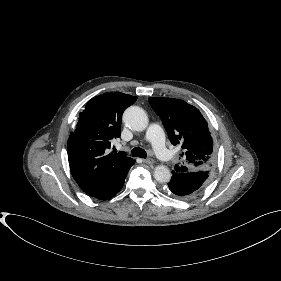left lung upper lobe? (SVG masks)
I'll return each mask as SVG.
<instances>
[{
	"instance_id": "obj_1",
	"label": "left lung upper lobe",
	"mask_w": 281,
	"mask_h": 281,
	"mask_svg": "<svg viewBox=\"0 0 281 281\" xmlns=\"http://www.w3.org/2000/svg\"><path fill=\"white\" fill-rule=\"evenodd\" d=\"M149 103L161 118L171 143L181 146L182 161L175 165L172 173H211L216 161L215 149L208 124L200 111L173 98L150 97Z\"/></svg>"
}]
</instances>
